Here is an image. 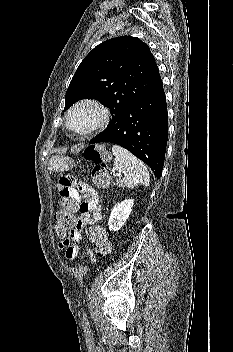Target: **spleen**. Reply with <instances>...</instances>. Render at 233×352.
I'll return each mask as SVG.
<instances>
[{"label":"spleen","instance_id":"obj_1","mask_svg":"<svg viewBox=\"0 0 233 352\" xmlns=\"http://www.w3.org/2000/svg\"><path fill=\"white\" fill-rule=\"evenodd\" d=\"M112 152L115 156L113 168L124 174L122 179L124 186L128 188H134L139 184L149 186V173L142 161L118 145H113Z\"/></svg>","mask_w":233,"mask_h":352}]
</instances>
